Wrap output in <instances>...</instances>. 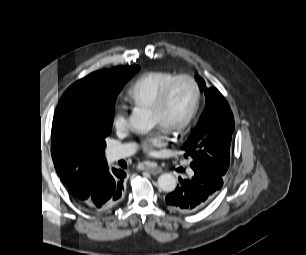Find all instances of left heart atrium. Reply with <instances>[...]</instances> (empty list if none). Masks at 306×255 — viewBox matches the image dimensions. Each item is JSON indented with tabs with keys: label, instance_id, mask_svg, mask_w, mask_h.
Listing matches in <instances>:
<instances>
[{
	"label": "left heart atrium",
	"instance_id": "1",
	"mask_svg": "<svg viewBox=\"0 0 306 255\" xmlns=\"http://www.w3.org/2000/svg\"><path fill=\"white\" fill-rule=\"evenodd\" d=\"M166 144L165 130L161 128L158 132L147 137L142 144L143 150L150 155L157 154V148Z\"/></svg>",
	"mask_w": 306,
	"mask_h": 255
}]
</instances>
